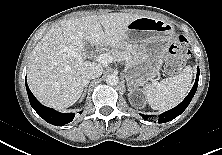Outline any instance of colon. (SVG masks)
Here are the masks:
<instances>
[{
    "mask_svg": "<svg viewBox=\"0 0 222 155\" xmlns=\"http://www.w3.org/2000/svg\"><path fill=\"white\" fill-rule=\"evenodd\" d=\"M191 55L188 42L184 36H177L169 48L165 69L169 73H177Z\"/></svg>",
    "mask_w": 222,
    "mask_h": 155,
    "instance_id": "colon-1",
    "label": "colon"
}]
</instances>
